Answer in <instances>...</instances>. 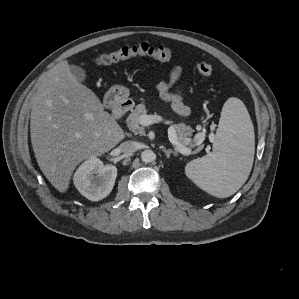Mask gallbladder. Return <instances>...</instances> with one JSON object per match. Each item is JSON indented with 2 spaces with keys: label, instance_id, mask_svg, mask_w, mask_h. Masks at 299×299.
Wrapping results in <instances>:
<instances>
[{
  "label": "gallbladder",
  "instance_id": "1",
  "mask_svg": "<svg viewBox=\"0 0 299 299\" xmlns=\"http://www.w3.org/2000/svg\"><path fill=\"white\" fill-rule=\"evenodd\" d=\"M71 73L75 77L76 80L79 82H84L87 78L86 71L79 66L72 65L71 66Z\"/></svg>",
  "mask_w": 299,
  "mask_h": 299
}]
</instances>
